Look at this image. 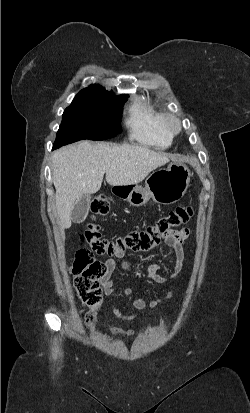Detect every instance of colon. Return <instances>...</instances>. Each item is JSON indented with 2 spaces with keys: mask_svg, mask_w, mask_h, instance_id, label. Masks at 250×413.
Listing matches in <instances>:
<instances>
[{
  "mask_svg": "<svg viewBox=\"0 0 250 413\" xmlns=\"http://www.w3.org/2000/svg\"><path fill=\"white\" fill-rule=\"evenodd\" d=\"M93 218L105 216L109 212V203L104 196H97L91 203ZM193 214L190 206H180L157 220L153 225L141 231H133L114 241L104 239L97 223H90L81 233L92 251L81 250L77 252L70 273L74 278L75 288L79 298L90 307H97L101 302V289L99 281L106 272L105 266L93 257L98 255H114L117 252L131 250L134 252H147L153 249L165 238L163 231L173 229L189 221Z\"/></svg>",
  "mask_w": 250,
  "mask_h": 413,
  "instance_id": "obj_1",
  "label": "colon"
}]
</instances>
